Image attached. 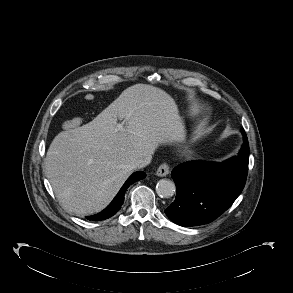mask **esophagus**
<instances>
[{
	"mask_svg": "<svg viewBox=\"0 0 293 293\" xmlns=\"http://www.w3.org/2000/svg\"><path fill=\"white\" fill-rule=\"evenodd\" d=\"M169 171H170L169 165L167 163H162L158 167V169L156 171V175L160 176V177H164L169 174Z\"/></svg>",
	"mask_w": 293,
	"mask_h": 293,
	"instance_id": "34e87169",
	"label": "esophagus"
}]
</instances>
